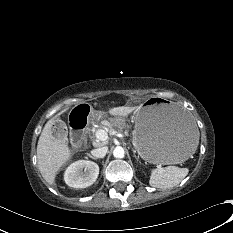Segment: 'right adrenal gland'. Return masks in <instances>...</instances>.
<instances>
[{"instance_id":"1","label":"right adrenal gland","mask_w":233,"mask_h":233,"mask_svg":"<svg viewBox=\"0 0 233 233\" xmlns=\"http://www.w3.org/2000/svg\"><path fill=\"white\" fill-rule=\"evenodd\" d=\"M89 157H90L91 159H93V160H97V158H95V157H93V156H91V155H89Z\"/></svg>"}]
</instances>
